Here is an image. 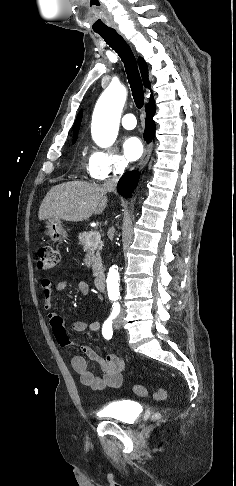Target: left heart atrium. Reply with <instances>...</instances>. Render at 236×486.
Wrapping results in <instances>:
<instances>
[{"label": "left heart atrium", "instance_id": "1", "mask_svg": "<svg viewBox=\"0 0 236 486\" xmlns=\"http://www.w3.org/2000/svg\"><path fill=\"white\" fill-rule=\"evenodd\" d=\"M123 153L127 160L135 161L143 153V145L139 138L135 136H129L124 139L122 143Z\"/></svg>", "mask_w": 236, "mask_h": 486}]
</instances>
